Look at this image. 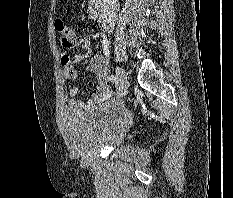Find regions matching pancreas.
<instances>
[{
    "mask_svg": "<svg viewBox=\"0 0 233 198\" xmlns=\"http://www.w3.org/2000/svg\"><path fill=\"white\" fill-rule=\"evenodd\" d=\"M95 0H89V3H92V2H94Z\"/></svg>",
    "mask_w": 233,
    "mask_h": 198,
    "instance_id": "1",
    "label": "pancreas"
}]
</instances>
